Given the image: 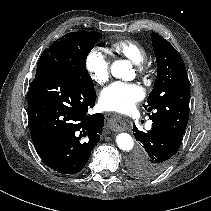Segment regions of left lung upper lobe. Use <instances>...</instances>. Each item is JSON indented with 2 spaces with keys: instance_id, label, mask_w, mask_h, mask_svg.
Here are the masks:
<instances>
[{
  "instance_id": "left-lung-upper-lobe-1",
  "label": "left lung upper lobe",
  "mask_w": 211,
  "mask_h": 211,
  "mask_svg": "<svg viewBox=\"0 0 211 211\" xmlns=\"http://www.w3.org/2000/svg\"><path fill=\"white\" fill-rule=\"evenodd\" d=\"M157 77L144 108L153 122L166 124L183 135L189 119V81L181 55L162 36L152 32Z\"/></svg>"
}]
</instances>
